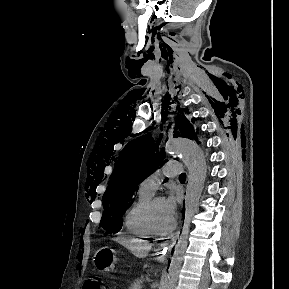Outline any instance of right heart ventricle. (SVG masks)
Here are the masks:
<instances>
[{"label":"right heart ventricle","mask_w":289,"mask_h":289,"mask_svg":"<svg viewBox=\"0 0 289 289\" xmlns=\"http://www.w3.org/2000/svg\"><path fill=\"white\" fill-rule=\"evenodd\" d=\"M152 196L153 194L138 190L135 200L126 210L124 216L125 228L129 234L140 238H150L153 236L144 220V210L148 200Z\"/></svg>","instance_id":"e07e8e85"}]
</instances>
